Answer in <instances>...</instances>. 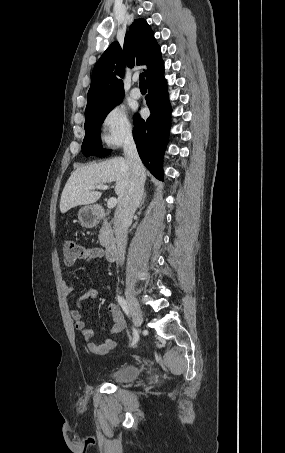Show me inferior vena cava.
I'll return each mask as SVG.
<instances>
[{
    "label": "inferior vena cava",
    "instance_id": "602c4592",
    "mask_svg": "<svg viewBox=\"0 0 285 453\" xmlns=\"http://www.w3.org/2000/svg\"><path fill=\"white\" fill-rule=\"evenodd\" d=\"M123 150L131 170V178L128 191L119 202L114 214V232L121 265L125 260L127 230L142 200L145 182V169L131 135L126 138Z\"/></svg>",
    "mask_w": 285,
    "mask_h": 453
}]
</instances>
